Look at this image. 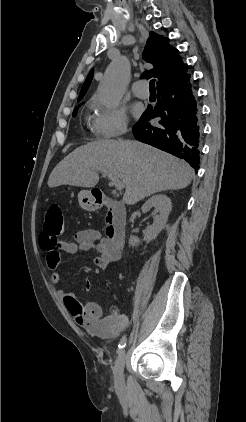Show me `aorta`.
Segmentation results:
<instances>
[{
	"mask_svg": "<svg viewBox=\"0 0 246 422\" xmlns=\"http://www.w3.org/2000/svg\"><path fill=\"white\" fill-rule=\"evenodd\" d=\"M130 77L128 59L124 56L112 61L99 87V99L106 107H116L124 94Z\"/></svg>",
	"mask_w": 246,
	"mask_h": 422,
	"instance_id": "762f6f07",
	"label": "aorta"
}]
</instances>
